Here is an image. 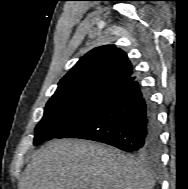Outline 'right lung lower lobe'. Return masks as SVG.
Wrapping results in <instances>:
<instances>
[{
    "instance_id": "obj_1",
    "label": "right lung lower lobe",
    "mask_w": 188,
    "mask_h": 189,
    "mask_svg": "<svg viewBox=\"0 0 188 189\" xmlns=\"http://www.w3.org/2000/svg\"><path fill=\"white\" fill-rule=\"evenodd\" d=\"M56 138L88 139L145 154L157 150L159 126L149 96L133 81L107 94Z\"/></svg>"
}]
</instances>
